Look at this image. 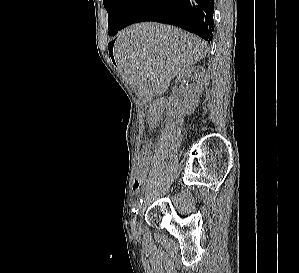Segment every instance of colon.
<instances>
[{
	"mask_svg": "<svg viewBox=\"0 0 299 273\" xmlns=\"http://www.w3.org/2000/svg\"><path fill=\"white\" fill-rule=\"evenodd\" d=\"M152 149V142L150 140H146L144 142V145H143V149L142 150H145V151H150ZM138 173L136 174V177H137ZM135 177V178H136ZM136 180V179H135Z\"/></svg>",
	"mask_w": 299,
	"mask_h": 273,
	"instance_id": "colon-1",
	"label": "colon"
}]
</instances>
